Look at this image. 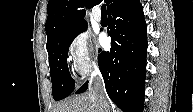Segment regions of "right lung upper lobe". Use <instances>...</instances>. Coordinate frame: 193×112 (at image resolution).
Returning <instances> with one entry per match:
<instances>
[{"mask_svg": "<svg viewBox=\"0 0 193 112\" xmlns=\"http://www.w3.org/2000/svg\"><path fill=\"white\" fill-rule=\"evenodd\" d=\"M123 0H104L110 13ZM97 0H49L45 25L47 44L59 33L77 26L87 25L83 7H93Z\"/></svg>", "mask_w": 193, "mask_h": 112, "instance_id": "right-lung-upper-lobe-1", "label": "right lung upper lobe"}]
</instances>
